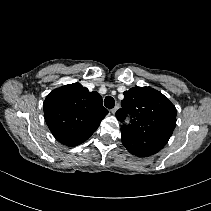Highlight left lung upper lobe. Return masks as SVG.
I'll list each match as a JSON object with an SVG mask.
<instances>
[{"mask_svg": "<svg viewBox=\"0 0 211 211\" xmlns=\"http://www.w3.org/2000/svg\"><path fill=\"white\" fill-rule=\"evenodd\" d=\"M119 121L129 115L130 124L121 127L126 149L140 157L151 156L168 142L176 126V108L161 92L150 87H134L124 92Z\"/></svg>", "mask_w": 211, "mask_h": 211, "instance_id": "left-lung-upper-lobe-1", "label": "left lung upper lobe"}]
</instances>
